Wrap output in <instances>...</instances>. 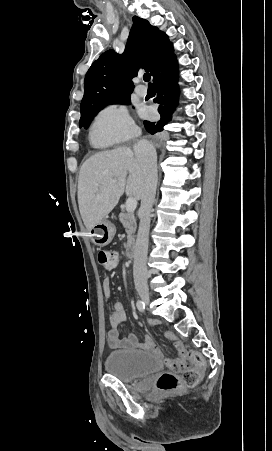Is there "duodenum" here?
Wrapping results in <instances>:
<instances>
[{"label":"duodenum","mask_w":272,"mask_h":451,"mask_svg":"<svg viewBox=\"0 0 272 451\" xmlns=\"http://www.w3.org/2000/svg\"><path fill=\"white\" fill-rule=\"evenodd\" d=\"M126 254L128 258H133L135 256V248L132 245H129L126 250Z\"/></svg>","instance_id":"obj_1"}]
</instances>
